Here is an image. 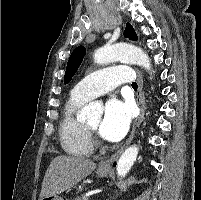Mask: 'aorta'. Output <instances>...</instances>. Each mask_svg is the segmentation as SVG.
I'll return each instance as SVG.
<instances>
[{
    "mask_svg": "<svg viewBox=\"0 0 201 200\" xmlns=\"http://www.w3.org/2000/svg\"><path fill=\"white\" fill-rule=\"evenodd\" d=\"M94 61L97 64H108L115 61H124L139 65L144 69L151 70V62L148 55L140 48L126 44L118 43L111 46H104L94 53ZM84 114L89 118L94 116V104L83 109ZM138 155V147L136 145L128 147L120 156L117 162L118 177H125L133 166Z\"/></svg>",
    "mask_w": 201,
    "mask_h": 200,
    "instance_id": "obj_1",
    "label": "aorta"
}]
</instances>
